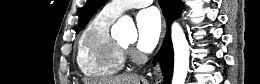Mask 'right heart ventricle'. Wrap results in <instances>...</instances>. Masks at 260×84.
I'll list each match as a JSON object with an SVG mask.
<instances>
[{"mask_svg":"<svg viewBox=\"0 0 260 84\" xmlns=\"http://www.w3.org/2000/svg\"><path fill=\"white\" fill-rule=\"evenodd\" d=\"M116 18L103 9L84 30L78 45L77 63L86 77L109 78L123 69L124 55L110 35Z\"/></svg>","mask_w":260,"mask_h":84,"instance_id":"e07e8e85","label":"right heart ventricle"}]
</instances>
